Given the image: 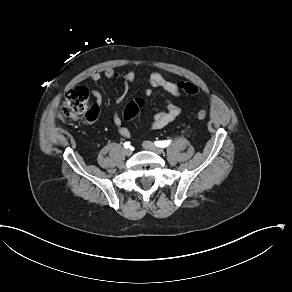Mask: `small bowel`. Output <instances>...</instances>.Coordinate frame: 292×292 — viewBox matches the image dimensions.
<instances>
[{"label": "small bowel", "mask_w": 292, "mask_h": 292, "mask_svg": "<svg viewBox=\"0 0 292 292\" xmlns=\"http://www.w3.org/2000/svg\"><path fill=\"white\" fill-rule=\"evenodd\" d=\"M103 77L108 79L120 80L124 83L125 87L123 92L117 97L116 103L120 104L125 99L129 84L134 83L137 80V73L134 70L116 71L111 68L106 69L103 73L94 71L89 75L91 83H98ZM149 87L145 90L146 96H151L154 89L161 88L168 92L176 99H181L183 94L178 84L168 80L161 72L153 71L147 78ZM88 90L96 100L98 104L102 102V94L96 88L89 86ZM181 106L168 100L165 106L155 114L152 122L148 125L146 130H158L166 127L172 123L180 114ZM113 123L117 127L119 133L123 136H130V131L123 125L122 119L119 114L113 116Z\"/></svg>", "instance_id": "c3829d8e"}]
</instances>
